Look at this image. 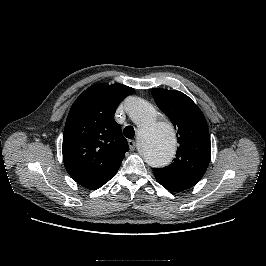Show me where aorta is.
Masks as SVG:
<instances>
[{
  "instance_id": "762f6f07",
  "label": "aorta",
  "mask_w": 266,
  "mask_h": 266,
  "mask_svg": "<svg viewBox=\"0 0 266 266\" xmlns=\"http://www.w3.org/2000/svg\"><path fill=\"white\" fill-rule=\"evenodd\" d=\"M127 111L138 126L139 147L147 164L152 167L167 165L176 150L173 127L159 121L155 108L141 98L129 99Z\"/></svg>"
}]
</instances>
